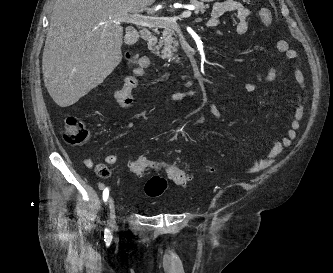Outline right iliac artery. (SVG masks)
I'll list each match as a JSON object with an SVG mask.
<instances>
[{
	"mask_svg": "<svg viewBox=\"0 0 333 273\" xmlns=\"http://www.w3.org/2000/svg\"><path fill=\"white\" fill-rule=\"evenodd\" d=\"M108 197H109V189L105 188L103 191L104 202H106L108 200ZM104 238H105V240H110L112 238V235L107 228H105V230H104Z\"/></svg>",
	"mask_w": 333,
	"mask_h": 273,
	"instance_id": "right-iliac-artery-1",
	"label": "right iliac artery"
}]
</instances>
